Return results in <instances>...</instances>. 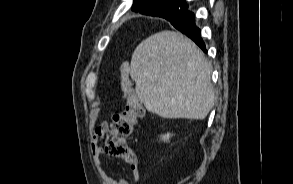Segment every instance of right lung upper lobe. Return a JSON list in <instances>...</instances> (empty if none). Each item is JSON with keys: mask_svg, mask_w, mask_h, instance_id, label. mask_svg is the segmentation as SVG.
Listing matches in <instances>:
<instances>
[{"mask_svg": "<svg viewBox=\"0 0 293 184\" xmlns=\"http://www.w3.org/2000/svg\"><path fill=\"white\" fill-rule=\"evenodd\" d=\"M183 9H187L183 0H135L132 6V10L135 12L165 19Z\"/></svg>", "mask_w": 293, "mask_h": 184, "instance_id": "right-lung-upper-lobe-1", "label": "right lung upper lobe"}]
</instances>
